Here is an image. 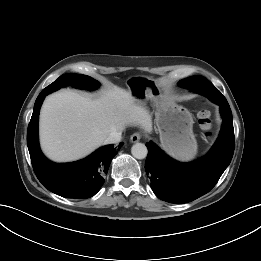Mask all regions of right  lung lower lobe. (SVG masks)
Instances as JSON below:
<instances>
[{
	"mask_svg": "<svg viewBox=\"0 0 261 261\" xmlns=\"http://www.w3.org/2000/svg\"><path fill=\"white\" fill-rule=\"evenodd\" d=\"M60 87L62 86L56 85L43 89L36 99L27 130L30 158L37 178L48 190L65 198L86 199L100 190L104 183V175L107 174L109 165L117 154V149L114 145H107L83 160L63 164L53 163L42 154L38 142L40 107L45 96ZM120 146H122L121 143Z\"/></svg>",
	"mask_w": 261,
	"mask_h": 261,
	"instance_id": "98d812e1",
	"label": "right lung lower lobe"
}]
</instances>
